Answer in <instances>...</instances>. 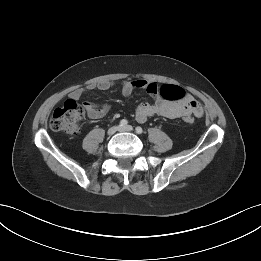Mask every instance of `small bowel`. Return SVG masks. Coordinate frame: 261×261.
Returning <instances> with one entry per match:
<instances>
[{
	"mask_svg": "<svg viewBox=\"0 0 261 261\" xmlns=\"http://www.w3.org/2000/svg\"><path fill=\"white\" fill-rule=\"evenodd\" d=\"M116 85L114 81L105 80L98 83H90L85 88H78L69 94L70 100L77 101L88 91L98 89L107 91ZM135 89L146 90L154 97L153 103H140L135 112V119L138 123H144L148 118L158 115L169 119L184 118L186 115L200 117L203 109L199 102L190 94H186L184 99L179 102L165 100L161 95V87L153 81L145 79H136L123 81L121 91L124 96H129ZM83 107L91 119H100L105 117L111 106L109 104L96 105L85 102Z\"/></svg>",
	"mask_w": 261,
	"mask_h": 261,
	"instance_id": "c3829d8e",
	"label": "small bowel"
}]
</instances>
